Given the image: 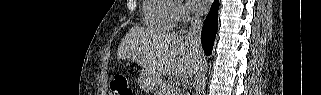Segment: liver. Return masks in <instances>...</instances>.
Masks as SVG:
<instances>
[{
	"label": "liver",
	"mask_w": 321,
	"mask_h": 95,
	"mask_svg": "<svg viewBox=\"0 0 321 95\" xmlns=\"http://www.w3.org/2000/svg\"><path fill=\"white\" fill-rule=\"evenodd\" d=\"M117 57L136 62L157 78L165 74L189 78L204 63L201 47L188 36L156 34L139 27L131 28L125 35Z\"/></svg>",
	"instance_id": "6515ba94"
}]
</instances>
